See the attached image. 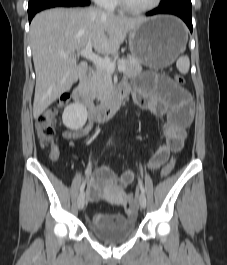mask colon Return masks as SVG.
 I'll return each mask as SVG.
<instances>
[{
  "label": "colon",
  "mask_w": 227,
  "mask_h": 265,
  "mask_svg": "<svg viewBox=\"0 0 227 265\" xmlns=\"http://www.w3.org/2000/svg\"><path fill=\"white\" fill-rule=\"evenodd\" d=\"M174 81L177 85H183L185 79L181 75H175ZM69 101V96L63 95L57 101L56 107H50L40 113L36 119V132L38 138L46 143H52L55 138V117L57 114V107L65 105ZM175 166V159L172 158L168 163L165 164L161 171V177H167ZM128 201L133 207L136 204V195L129 194Z\"/></svg>",
  "instance_id": "obj_1"
}]
</instances>
